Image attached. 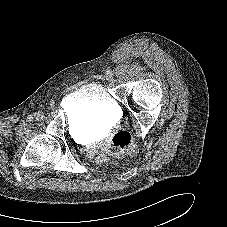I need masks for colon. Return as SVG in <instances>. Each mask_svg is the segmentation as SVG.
<instances>
[{
  "instance_id": "colon-1",
  "label": "colon",
  "mask_w": 227,
  "mask_h": 227,
  "mask_svg": "<svg viewBox=\"0 0 227 227\" xmlns=\"http://www.w3.org/2000/svg\"><path fill=\"white\" fill-rule=\"evenodd\" d=\"M104 149L114 154L133 152L132 138L130 134L125 131L118 132L112 137L110 143L104 146Z\"/></svg>"
}]
</instances>
